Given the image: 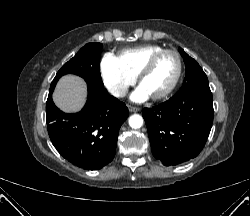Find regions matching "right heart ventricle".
Instances as JSON below:
<instances>
[{
  "instance_id": "e07e8e85",
  "label": "right heart ventricle",
  "mask_w": 250,
  "mask_h": 216,
  "mask_svg": "<svg viewBox=\"0 0 250 216\" xmlns=\"http://www.w3.org/2000/svg\"><path fill=\"white\" fill-rule=\"evenodd\" d=\"M162 49L159 45H143L122 50L117 58L124 69L137 77L149 58Z\"/></svg>"
}]
</instances>
